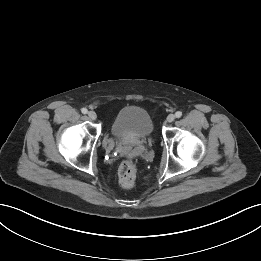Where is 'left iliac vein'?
Masks as SVG:
<instances>
[{
  "mask_svg": "<svg viewBox=\"0 0 261 261\" xmlns=\"http://www.w3.org/2000/svg\"><path fill=\"white\" fill-rule=\"evenodd\" d=\"M167 122H173L174 120H175V115L174 114H169L168 116H167Z\"/></svg>",
  "mask_w": 261,
  "mask_h": 261,
  "instance_id": "4c4485c4",
  "label": "left iliac vein"
}]
</instances>
